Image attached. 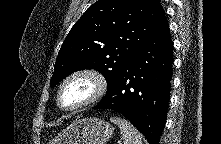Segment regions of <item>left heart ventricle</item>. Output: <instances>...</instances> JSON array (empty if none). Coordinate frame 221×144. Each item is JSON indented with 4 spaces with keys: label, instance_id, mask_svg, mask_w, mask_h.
<instances>
[{
    "label": "left heart ventricle",
    "instance_id": "left-heart-ventricle-1",
    "mask_svg": "<svg viewBox=\"0 0 221 144\" xmlns=\"http://www.w3.org/2000/svg\"><path fill=\"white\" fill-rule=\"evenodd\" d=\"M93 91V83L87 78H78L68 83L61 95L64 107L74 106L87 99Z\"/></svg>",
    "mask_w": 221,
    "mask_h": 144
}]
</instances>
